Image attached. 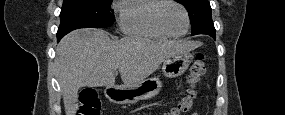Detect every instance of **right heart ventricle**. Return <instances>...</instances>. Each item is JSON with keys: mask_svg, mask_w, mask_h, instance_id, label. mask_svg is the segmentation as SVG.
Instances as JSON below:
<instances>
[{"mask_svg": "<svg viewBox=\"0 0 285 115\" xmlns=\"http://www.w3.org/2000/svg\"><path fill=\"white\" fill-rule=\"evenodd\" d=\"M157 0H130L119 6V27L121 31L132 37H143L165 40L170 38L164 34L154 22Z\"/></svg>", "mask_w": 285, "mask_h": 115, "instance_id": "right-heart-ventricle-1", "label": "right heart ventricle"}]
</instances>
